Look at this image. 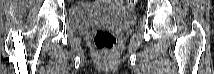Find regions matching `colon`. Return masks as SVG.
Here are the masks:
<instances>
[{
    "label": "colon",
    "instance_id": "5ec220e1",
    "mask_svg": "<svg viewBox=\"0 0 214 74\" xmlns=\"http://www.w3.org/2000/svg\"><path fill=\"white\" fill-rule=\"evenodd\" d=\"M128 8L134 7L136 0L124 1ZM94 44L99 50H110L116 44V35L111 30L98 29L94 36Z\"/></svg>",
    "mask_w": 214,
    "mask_h": 74
}]
</instances>
